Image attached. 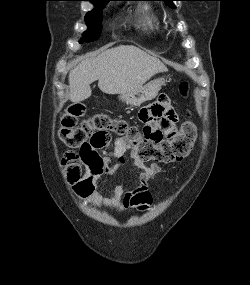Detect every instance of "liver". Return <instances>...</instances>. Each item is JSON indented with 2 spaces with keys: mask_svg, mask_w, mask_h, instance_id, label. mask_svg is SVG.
I'll list each match as a JSON object with an SVG mask.
<instances>
[{
  "mask_svg": "<svg viewBox=\"0 0 250 285\" xmlns=\"http://www.w3.org/2000/svg\"><path fill=\"white\" fill-rule=\"evenodd\" d=\"M156 57L132 45L107 49L95 57L83 59L69 73V98L79 103L92 94L90 84L98 80L107 94H122L141 87L152 76L166 72Z\"/></svg>",
  "mask_w": 250,
  "mask_h": 285,
  "instance_id": "liver-1",
  "label": "liver"
}]
</instances>
